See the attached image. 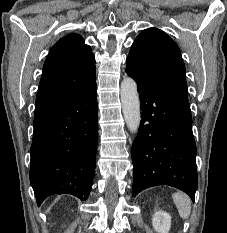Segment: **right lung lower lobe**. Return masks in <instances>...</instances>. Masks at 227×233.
I'll return each mask as SVG.
<instances>
[{"instance_id":"1","label":"right lung lower lobe","mask_w":227,"mask_h":233,"mask_svg":"<svg viewBox=\"0 0 227 233\" xmlns=\"http://www.w3.org/2000/svg\"><path fill=\"white\" fill-rule=\"evenodd\" d=\"M98 141L96 83L34 117L30 183L37 204L52 194L86 200Z\"/></svg>"}]
</instances>
